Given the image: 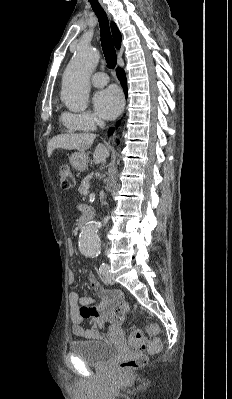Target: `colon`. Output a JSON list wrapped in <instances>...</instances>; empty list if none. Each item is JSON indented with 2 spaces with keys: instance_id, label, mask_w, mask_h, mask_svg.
Returning <instances> with one entry per match:
<instances>
[{
  "instance_id": "colon-1",
  "label": "colon",
  "mask_w": 232,
  "mask_h": 399,
  "mask_svg": "<svg viewBox=\"0 0 232 399\" xmlns=\"http://www.w3.org/2000/svg\"><path fill=\"white\" fill-rule=\"evenodd\" d=\"M69 168V163H56V182L61 184V187H69L75 185L73 180V171L66 172ZM158 332V322L148 321L147 326H138L137 330L130 331V340H122L123 353H147L146 341L151 340L150 333ZM138 365H145V358H140V355H121L120 374H133L134 368Z\"/></svg>"
}]
</instances>
